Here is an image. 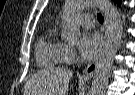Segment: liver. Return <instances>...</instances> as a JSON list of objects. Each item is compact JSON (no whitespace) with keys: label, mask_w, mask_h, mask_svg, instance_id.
Masks as SVG:
<instances>
[{"label":"liver","mask_w":135,"mask_h":95,"mask_svg":"<svg viewBox=\"0 0 135 95\" xmlns=\"http://www.w3.org/2000/svg\"><path fill=\"white\" fill-rule=\"evenodd\" d=\"M73 76L65 68H47L33 75L26 83L25 95H67Z\"/></svg>","instance_id":"liver-1"}]
</instances>
